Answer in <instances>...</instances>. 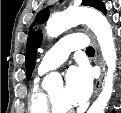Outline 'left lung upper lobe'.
<instances>
[{
    "mask_svg": "<svg viewBox=\"0 0 121 113\" xmlns=\"http://www.w3.org/2000/svg\"><path fill=\"white\" fill-rule=\"evenodd\" d=\"M82 5L94 7L104 14H106V9L104 4L100 0H83ZM49 16V11L44 9L41 10L36 16V23H44ZM35 23L32 24L30 31L28 33L27 48H26V77L27 80L30 79L32 72L35 67V59L37 56V48L42 42V34L40 30H35Z\"/></svg>",
    "mask_w": 121,
    "mask_h": 113,
    "instance_id": "obj_1",
    "label": "left lung upper lobe"
}]
</instances>
